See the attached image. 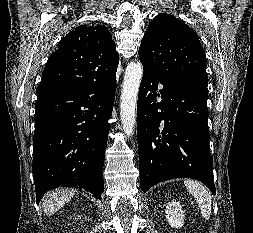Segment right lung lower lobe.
I'll list each match as a JSON object with an SVG mask.
<instances>
[{"label": "right lung lower lobe", "instance_id": "right-lung-lower-lobe-1", "mask_svg": "<svg viewBox=\"0 0 253 233\" xmlns=\"http://www.w3.org/2000/svg\"><path fill=\"white\" fill-rule=\"evenodd\" d=\"M116 89V71L38 94L33 138L36 202L57 187H81L98 199Z\"/></svg>", "mask_w": 253, "mask_h": 233}]
</instances>
